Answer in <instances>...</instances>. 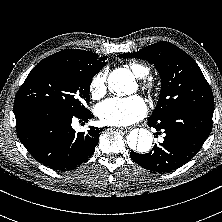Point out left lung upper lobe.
Here are the masks:
<instances>
[{
    "instance_id": "obj_1",
    "label": "left lung upper lobe",
    "mask_w": 222,
    "mask_h": 222,
    "mask_svg": "<svg viewBox=\"0 0 222 222\" xmlns=\"http://www.w3.org/2000/svg\"><path fill=\"white\" fill-rule=\"evenodd\" d=\"M121 58H139L153 63L161 76V91L150 118L158 119L188 106L214 108L211 88L197 63L169 42L147 46Z\"/></svg>"
}]
</instances>
